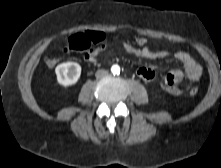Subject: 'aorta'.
I'll list each match as a JSON object with an SVG mask.
<instances>
[{"label": "aorta", "instance_id": "aorta-1", "mask_svg": "<svg viewBox=\"0 0 221 168\" xmlns=\"http://www.w3.org/2000/svg\"><path fill=\"white\" fill-rule=\"evenodd\" d=\"M111 71L113 74H119L120 73V67L118 65H113L111 68Z\"/></svg>", "mask_w": 221, "mask_h": 168}]
</instances>
